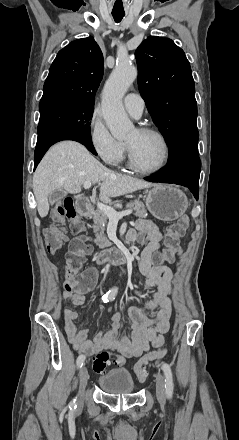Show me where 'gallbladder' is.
Returning <instances> with one entry per match:
<instances>
[{
	"label": "gallbladder",
	"instance_id": "obj_1",
	"mask_svg": "<svg viewBox=\"0 0 239 440\" xmlns=\"http://www.w3.org/2000/svg\"><path fill=\"white\" fill-rule=\"evenodd\" d=\"M67 192H64V190H54V192H51L49 194V202L50 204H55V202H58V200H63V198H66Z\"/></svg>",
	"mask_w": 239,
	"mask_h": 440
}]
</instances>
